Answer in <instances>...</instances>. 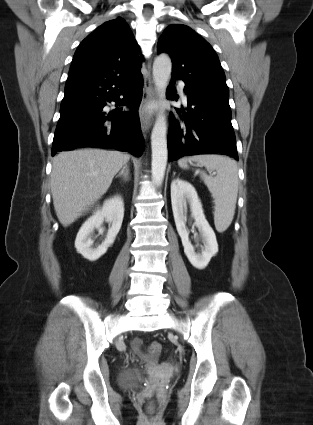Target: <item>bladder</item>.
Returning a JSON list of instances; mask_svg holds the SVG:
<instances>
[{
    "label": "bladder",
    "instance_id": "obj_1",
    "mask_svg": "<svg viewBox=\"0 0 313 425\" xmlns=\"http://www.w3.org/2000/svg\"><path fill=\"white\" fill-rule=\"evenodd\" d=\"M143 375L141 372L135 369H128L121 372L118 378V382L123 387H132L142 379Z\"/></svg>",
    "mask_w": 313,
    "mask_h": 425
}]
</instances>
